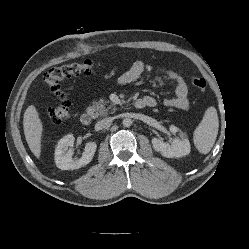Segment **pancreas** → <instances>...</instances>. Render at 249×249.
Instances as JSON below:
<instances>
[{"label":"pancreas","instance_id":"1","mask_svg":"<svg viewBox=\"0 0 249 249\" xmlns=\"http://www.w3.org/2000/svg\"><path fill=\"white\" fill-rule=\"evenodd\" d=\"M107 104H109V101H105L104 99H100L98 102H95L90 107V109L92 110V117L96 118L98 116H106V115L116 111L115 104L110 103L106 107Z\"/></svg>","mask_w":249,"mask_h":249}]
</instances>
